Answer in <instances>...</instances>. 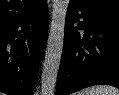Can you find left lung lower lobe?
Masks as SVG:
<instances>
[{"label": "left lung lower lobe", "instance_id": "0a47b994", "mask_svg": "<svg viewBox=\"0 0 119 95\" xmlns=\"http://www.w3.org/2000/svg\"><path fill=\"white\" fill-rule=\"evenodd\" d=\"M98 84L119 88V18L70 1L56 95Z\"/></svg>", "mask_w": 119, "mask_h": 95}]
</instances>
